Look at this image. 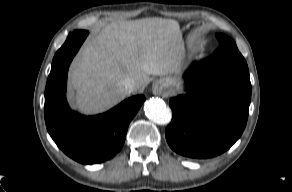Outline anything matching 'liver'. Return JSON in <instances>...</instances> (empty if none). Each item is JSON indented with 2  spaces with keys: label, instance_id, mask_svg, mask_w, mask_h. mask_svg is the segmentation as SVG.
<instances>
[{
  "label": "liver",
  "instance_id": "1",
  "mask_svg": "<svg viewBox=\"0 0 292 192\" xmlns=\"http://www.w3.org/2000/svg\"><path fill=\"white\" fill-rule=\"evenodd\" d=\"M185 54L175 20L113 21L85 44L73 63V104L86 114L108 109L126 97L121 85L125 78L134 79L138 91L149 83V75L179 73Z\"/></svg>",
  "mask_w": 292,
  "mask_h": 192
}]
</instances>
